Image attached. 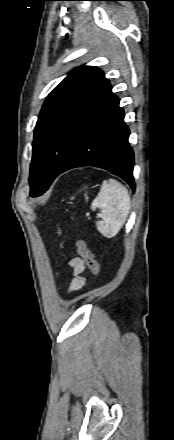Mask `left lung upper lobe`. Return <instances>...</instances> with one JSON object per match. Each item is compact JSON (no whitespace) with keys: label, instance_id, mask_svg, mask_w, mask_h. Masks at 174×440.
Segmentation results:
<instances>
[{"label":"left lung upper lobe","instance_id":"5c2ea615","mask_svg":"<svg viewBox=\"0 0 174 440\" xmlns=\"http://www.w3.org/2000/svg\"><path fill=\"white\" fill-rule=\"evenodd\" d=\"M111 85L103 71L81 66L49 94L34 131L30 195H42L58 176L92 112Z\"/></svg>","mask_w":174,"mask_h":440}]
</instances>
